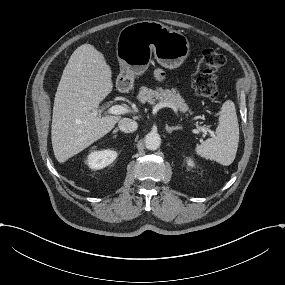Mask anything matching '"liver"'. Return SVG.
<instances>
[{
  "label": "liver",
  "mask_w": 285,
  "mask_h": 285,
  "mask_svg": "<svg viewBox=\"0 0 285 285\" xmlns=\"http://www.w3.org/2000/svg\"><path fill=\"white\" fill-rule=\"evenodd\" d=\"M113 73L103 53L85 43L71 55L55 96L51 140L63 164L107 135L121 116L94 115L114 89Z\"/></svg>",
  "instance_id": "obj_1"
}]
</instances>
